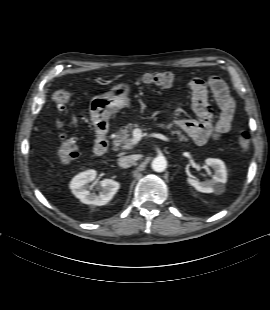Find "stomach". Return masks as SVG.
<instances>
[{"mask_svg": "<svg viewBox=\"0 0 270 310\" xmlns=\"http://www.w3.org/2000/svg\"><path fill=\"white\" fill-rule=\"evenodd\" d=\"M130 91V85L121 83L113 86L109 92L91 99L89 111L95 128L98 129L107 124L113 113L129 106Z\"/></svg>", "mask_w": 270, "mask_h": 310, "instance_id": "obj_1", "label": "stomach"}]
</instances>
